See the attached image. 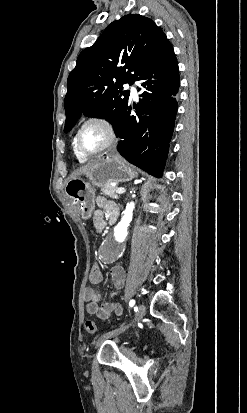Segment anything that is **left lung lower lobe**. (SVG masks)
Masks as SVG:
<instances>
[{
    "instance_id": "0a47b994",
    "label": "left lung lower lobe",
    "mask_w": 247,
    "mask_h": 413,
    "mask_svg": "<svg viewBox=\"0 0 247 413\" xmlns=\"http://www.w3.org/2000/svg\"><path fill=\"white\" fill-rule=\"evenodd\" d=\"M143 91L137 117L128 107L116 130L119 153L130 163L161 177L172 138L178 103L180 78L173 47L165 48L137 79Z\"/></svg>"
}]
</instances>
